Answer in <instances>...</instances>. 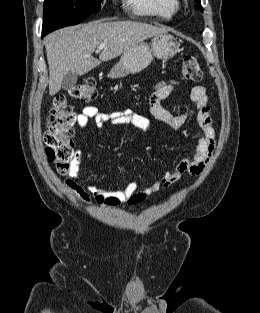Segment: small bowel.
Wrapping results in <instances>:
<instances>
[{
  "label": "small bowel",
  "mask_w": 260,
  "mask_h": 313,
  "mask_svg": "<svg viewBox=\"0 0 260 313\" xmlns=\"http://www.w3.org/2000/svg\"><path fill=\"white\" fill-rule=\"evenodd\" d=\"M176 86V82L161 81L153 87L152 94L149 98L151 115L171 129L181 128L190 115V111L173 114L162 106V101L176 91ZM190 99L197 110V120L202 134L197 139L191 157L179 161L172 171L163 173L157 181L143 189H138L136 182H130L123 189L103 188L85 184L78 180L77 167L78 159L81 156L78 153L77 160L72 164L69 175L64 179V184L86 205H92L95 202L101 206L112 207L121 204H140L162 189L168 188L178 182L185 174L193 176L200 175L208 166L213 155L216 145L215 130L211 111L208 106L206 88L200 85L194 86L190 92ZM91 119L95 120L98 127H102L107 123L113 125H130L144 132L149 131L151 127V122L148 118L130 109L101 112L96 107H84L77 116V124L79 127L85 128Z\"/></svg>",
  "instance_id": "1"
}]
</instances>
